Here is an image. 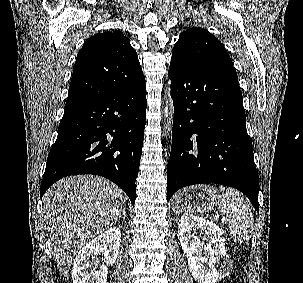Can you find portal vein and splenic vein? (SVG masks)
I'll return each mask as SVG.
<instances>
[{
  "instance_id": "obj_1",
  "label": "portal vein and splenic vein",
  "mask_w": 303,
  "mask_h": 283,
  "mask_svg": "<svg viewBox=\"0 0 303 283\" xmlns=\"http://www.w3.org/2000/svg\"><path fill=\"white\" fill-rule=\"evenodd\" d=\"M222 221H223V222H226V221H227V219H226V218H222Z\"/></svg>"
}]
</instances>
